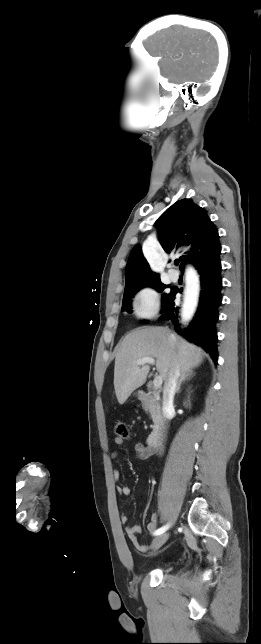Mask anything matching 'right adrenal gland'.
<instances>
[{
  "mask_svg": "<svg viewBox=\"0 0 261 644\" xmlns=\"http://www.w3.org/2000/svg\"><path fill=\"white\" fill-rule=\"evenodd\" d=\"M194 375H195V374H194V372H193V371L183 372V373L181 374V377H180V380H179V382H178V385H177V388H176V391H175V392H176V393H179V391H180V387H181V384H182L184 381H186V380H191V379L193 378V376H194Z\"/></svg>",
  "mask_w": 261,
  "mask_h": 644,
  "instance_id": "2a0ac1e0",
  "label": "right adrenal gland"
}]
</instances>
